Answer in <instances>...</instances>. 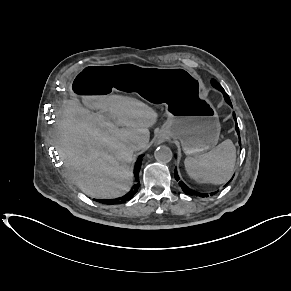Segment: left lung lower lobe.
I'll return each instance as SVG.
<instances>
[{
  "label": "left lung lower lobe",
  "mask_w": 291,
  "mask_h": 291,
  "mask_svg": "<svg viewBox=\"0 0 291 291\" xmlns=\"http://www.w3.org/2000/svg\"><path fill=\"white\" fill-rule=\"evenodd\" d=\"M221 92L223 93L224 95V98H225V101L232 106L231 104V101L229 99V96L227 95V93H225L224 90H221ZM233 118L236 122V126H235V129L238 133V136H239V144L241 145V141H240V133H239V128H238V124H237V121H236V116H235V113H233ZM175 179L177 181H179V185L180 187L182 188L183 192L186 193L187 195H195V196H200V197H208L209 195L207 193H199V192H196L192 189H190L189 187H187V185L183 182V181H180V178L177 174V170L175 169ZM216 192L214 193H210V195H214Z\"/></svg>",
  "instance_id": "1"
}]
</instances>
